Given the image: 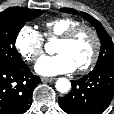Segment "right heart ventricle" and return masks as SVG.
Returning a JSON list of instances; mask_svg holds the SVG:
<instances>
[{
    "label": "right heart ventricle",
    "mask_w": 114,
    "mask_h": 114,
    "mask_svg": "<svg viewBox=\"0 0 114 114\" xmlns=\"http://www.w3.org/2000/svg\"><path fill=\"white\" fill-rule=\"evenodd\" d=\"M78 24H80V21L72 17H56L43 23V35L46 38L59 37L68 29Z\"/></svg>",
    "instance_id": "e07e8e85"
}]
</instances>
